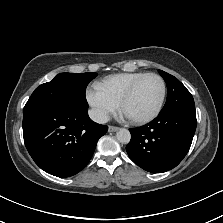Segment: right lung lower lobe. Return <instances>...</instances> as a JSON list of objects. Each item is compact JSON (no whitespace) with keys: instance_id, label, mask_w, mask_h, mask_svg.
<instances>
[{"instance_id":"98d812e1","label":"right lung lower lobe","mask_w":223,"mask_h":223,"mask_svg":"<svg viewBox=\"0 0 223 223\" xmlns=\"http://www.w3.org/2000/svg\"><path fill=\"white\" fill-rule=\"evenodd\" d=\"M25 146L35 163L57 177H69L90 161L108 127L93 122L88 109L42 107L23 113Z\"/></svg>"}]
</instances>
